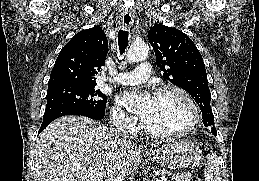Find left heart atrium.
<instances>
[{
    "instance_id": "39dd6f15",
    "label": "left heart atrium",
    "mask_w": 259,
    "mask_h": 181,
    "mask_svg": "<svg viewBox=\"0 0 259 181\" xmlns=\"http://www.w3.org/2000/svg\"><path fill=\"white\" fill-rule=\"evenodd\" d=\"M118 103L145 118L153 104V97L147 92L125 91L118 97Z\"/></svg>"
}]
</instances>
